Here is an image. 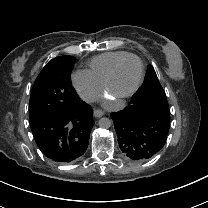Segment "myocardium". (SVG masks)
<instances>
[{
	"mask_svg": "<svg viewBox=\"0 0 208 208\" xmlns=\"http://www.w3.org/2000/svg\"><path fill=\"white\" fill-rule=\"evenodd\" d=\"M128 58H135L139 62V65H140L139 80H138L137 84L135 85V87L131 91L124 93V94H115L112 91V83L114 81L115 74H116L118 68L120 67V65ZM144 77H145V67H144V63H143L142 59L139 56H137L136 54L128 53L127 55H125L124 57H122L118 61H116V63L111 68V70L108 74V77L102 86L103 91H104L105 95H107L109 97H112V98L117 99L119 101H124V100L134 96L139 91V89L141 88V86L144 82Z\"/></svg>",
	"mask_w": 208,
	"mask_h": 208,
	"instance_id": "1",
	"label": "myocardium"
}]
</instances>
